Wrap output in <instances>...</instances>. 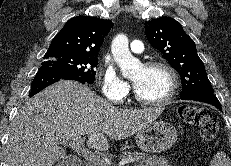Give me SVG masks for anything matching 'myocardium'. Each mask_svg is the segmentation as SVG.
I'll use <instances>...</instances> for the list:
<instances>
[{
	"label": "myocardium",
	"instance_id": "1",
	"mask_svg": "<svg viewBox=\"0 0 231 166\" xmlns=\"http://www.w3.org/2000/svg\"><path fill=\"white\" fill-rule=\"evenodd\" d=\"M143 67L147 68V69L161 68V69L165 70L166 73L168 74L169 78H170V88L164 97L157 99V100H146V99L140 97L138 95V93L136 92V90L134 89L135 99L139 103H141L145 106H151V107L163 106V105L167 104L176 95V92H177L178 87H179V77H178L176 70L173 68V66L171 64H169L165 60H152V61L146 62L143 65Z\"/></svg>",
	"mask_w": 231,
	"mask_h": 166
}]
</instances>
